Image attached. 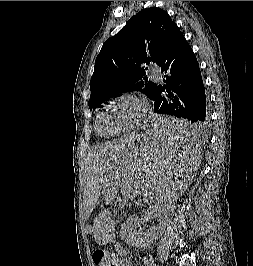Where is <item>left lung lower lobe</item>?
Returning a JSON list of instances; mask_svg holds the SVG:
<instances>
[{"mask_svg":"<svg viewBox=\"0 0 253 266\" xmlns=\"http://www.w3.org/2000/svg\"><path fill=\"white\" fill-rule=\"evenodd\" d=\"M157 65L165 84H155L154 112L181 120L177 125L154 126L153 131L172 141L196 140L209 124L205 88L196 56L177 25Z\"/></svg>","mask_w":253,"mask_h":266,"instance_id":"1","label":"left lung lower lobe"}]
</instances>
